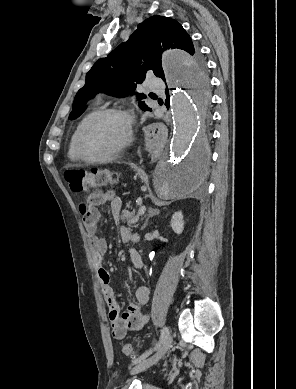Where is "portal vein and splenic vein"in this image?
Returning <instances> with one entry per match:
<instances>
[{
    "mask_svg": "<svg viewBox=\"0 0 296 389\" xmlns=\"http://www.w3.org/2000/svg\"><path fill=\"white\" fill-rule=\"evenodd\" d=\"M146 211V207L145 206H141L138 210V215L141 216L145 213Z\"/></svg>",
    "mask_w": 296,
    "mask_h": 389,
    "instance_id": "portal-vein-and-splenic-vein-1",
    "label": "portal vein and splenic vein"
}]
</instances>
